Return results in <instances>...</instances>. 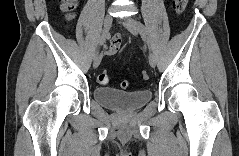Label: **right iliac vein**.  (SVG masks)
<instances>
[{
	"instance_id": "right-iliac-vein-1",
	"label": "right iliac vein",
	"mask_w": 239,
	"mask_h": 156,
	"mask_svg": "<svg viewBox=\"0 0 239 156\" xmlns=\"http://www.w3.org/2000/svg\"><path fill=\"white\" fill-rule=\"evenodd\" d=\"M111 26H112V17L109 14H107L104 19L103 35L105 36L108 35ZM101 59H102L101 55H98L97 57L94 58V61H93L94 68H97L100 65Z\"/></svg>"
}]
</instances>
